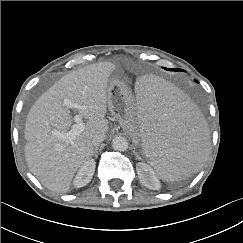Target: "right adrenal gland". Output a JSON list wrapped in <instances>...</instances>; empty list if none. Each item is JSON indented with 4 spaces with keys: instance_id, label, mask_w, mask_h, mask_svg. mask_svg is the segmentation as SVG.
<instances>
[{
    "instance_id": "right-adrenal-gland-1",
    "label": "right adrenal gland",
    "mask_w": 243,
    "mask_h": 243,
    "mask_svg": "<svg viewBox=\"0 0 243 243\" xmlns=\"http://www.w3.org/2000/svg\"><path fill=\"white\" fill-rule=\"evenodd\" d=\"M97 153H98V146L95 147L92 156H95V158H97Z\"/></svg>"
}]
</instances>
